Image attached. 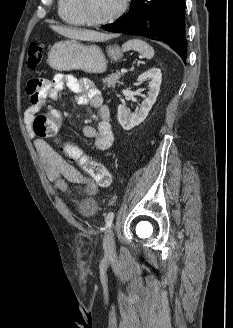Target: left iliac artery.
I'll list each match as a JSON object with an SVG mask.
<instances>
[{"mask_svg": "<svg viewBox=\"0 0 233 328\" xmlns=\"http://www.w3.org/2000/svg\"><path fill=\"white\" fill-rule=\"evenodd\" d=\"M114 212H110L106 218H105V223H106V228H110L114 219Z\"/></svg>", "mask_w": 233, "mask_h": 328, "instance_id": "44dca946", "label": "left iliac artery"}]
</instances>
